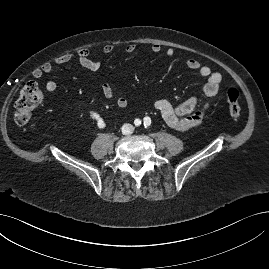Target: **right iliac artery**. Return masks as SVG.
Here are the masks:
<instances>
[{"instance_id":"1","label":"right iliac artery","mask_w":269,"mask_h":269,"mask_svg":"<svg viewBox=\"0 0 269 269\" xmlns=\"http://www.w3.org/2000/svg\"><path fill=\"white\" fill-rule=\"evenodd\" d=\"M134 124L136 126H139L141 124V120L140 119H135Z\"/></svg>"}]
</instances>
